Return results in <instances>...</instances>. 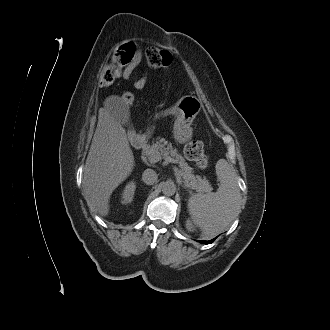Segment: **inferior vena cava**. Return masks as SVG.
Wrapping results in <instances>:
<instances>
[{"label":"inferior vena cava","instance_id":"inferior-vena-cava-1","mask_svg":"<svg viewBox=\"0 0 330 330\" xmlns=\"http://www.w3.org/2000/svg\"><path fill=\"white\" fill-rule=\"evenodd\" d=\"M157 179L158 175L153 169H146L142 174V181L147 185H153Z\"/></svg>","mask_w":330,"mask_h":330}]
</instances>
